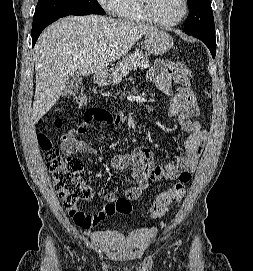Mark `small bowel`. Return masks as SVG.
Returning <instances> with one entry per match:
<instances>
[{"label": "small bowel", "instance_id": "obj_1", "mask_svg": "<svg viewBox=\"0 0 253 271\" xmlns=\"http://www.w3.org/2000/svg\"><path fill=\"white\" fill-rule=\"evenodd\" d=\"M189 76L190 72H186L166 60L158 61L149 70V79L167 97L168 115L177 118L179 125L187 134V139L183 156L177 160H171L165 165L153 163L152 151L147 146H140L131 153L116 154L112 157L111 165L113 168L117 170L132 169V177L136 185L125 192V198L128 200H137L148 187L149 181L179 179L184 172L191 174L198 164L199 156L207 140V133L195 119L199 115L200 109L190 88ZM172 83L179 85V89L175 92L171 89ZM95 122L98 121L84 117L81 123L64 134L61 138L63 152L68 155L96 154V148L77 139L78 134L86 132L90 125ZM102 122L108 127H113L115 124L114 117L111 114L109 120ZM97 176L100 177L101 174L98 173ZM117 199L118 195L113 190L105 194L107 204L94 214L96 223L111 217L115 213L110 205Z\"/></svg>", "mask_w": 253, "mask_h": 271}]
</instances>
